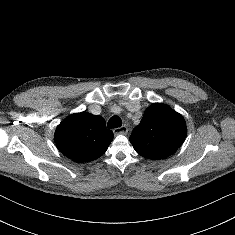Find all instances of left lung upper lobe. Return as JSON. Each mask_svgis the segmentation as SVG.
I'll return each instance as SVG.
<instances>
[{"label":"left lung upper lobe","mask_w":235,"mask_h":235,"mask_svg":"<svg viewBox=\"0 0 235 235\" xmlns=\"http://www.w3.org/2000/svg\"><path fill=\"white\" fill-rule=\"evenodd\" d=\"M187 134L181 114L162 103H154L145 112L130 136L136 152L149 159H163L181 146Z\"/></svg>","instance_id":"left-lung-upper-lobe-1"}]
</instances>
